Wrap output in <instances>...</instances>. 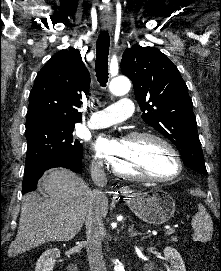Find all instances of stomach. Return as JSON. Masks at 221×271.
<instances>
[{
    "label": "stomach",
    "mask_w": 221,
    "mask_h": 271,
    "mask_svg": "<svg viewBox=\"0 0 221 271\" xmlns=\"http://www.w3.org/2000/svg\"><path fill=\"white\" fill-rule=\"evenodd\" d=\"M125 199L133 213L147 223L158 225L174 215L175 201L170 193L163 191L161 187H150L149 191L141 193H133V189H129Z\"/></svg>",
    "instance_id": "0dacf381"
}]
</instances>
